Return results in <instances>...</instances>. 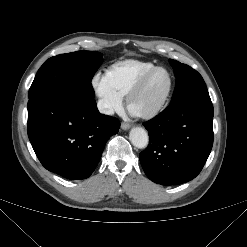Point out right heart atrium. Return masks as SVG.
Here are the masks:
<instances>
[{"mask_svg":"<svg viewBox=\"0 0 247 247\" xmlns=\"http://www.w3.org/2000/svg\"><path fill=\"white\" fill-rule=\"evenodd\" d=\"M92 86L103 113L112 115L122 109L123 97L112 87L107 74H96L92 79Z\"/></svg>","mask_w":247,"mask_h":247,"instance_id":"right-heart-atrium-1","label":"right heart atrium"}]
</instances>
